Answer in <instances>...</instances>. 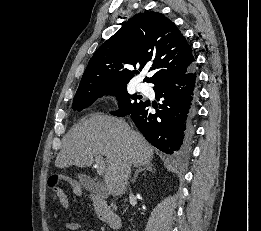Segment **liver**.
<instances>
[{
    "mask_svg": "<svg viewBox=\"0 0 261 231\" xmlns=\"http://www.w3.org/2000/svg\"><path fill=\"white\" fill-rule=\"evenodd\" d=\"M97 155L106 157L104 189L118 196L126 189L131 166L150 163L153 148L123 119L93 114L82 119L66 134L55 166L61 169L90 166Z\"/></svg>",
    "mask_w": 261,
    "mask_h": 231,
    "instance_id": "1",
    "label": "liver"
}]
</instances>
